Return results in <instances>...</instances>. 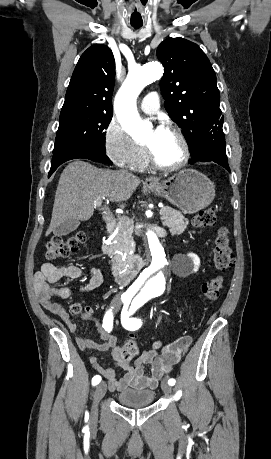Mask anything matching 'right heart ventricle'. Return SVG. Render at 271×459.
Masks as SVG:
<instances>
[{"label": "right heart ventricle", "instance_id": "obj_1", "mask_svg": "<svg viewBox=\"0 0 271 459\" xmlns=\"http://www.w3.org/2000/svg\"><path fill=\"white\" fill-rule=\"evenodd\" d=\"M148 164H149V161L148 159L146 158V156L144 158H142L141 160L137 161L134 165H133V168L134 169H137V170H143L145 168L148 167Z\"/></svg>", "mask_w": 271, "mask_h": 459}]
</instances>
